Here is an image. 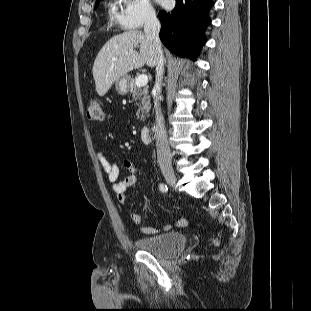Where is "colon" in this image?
<instances>
[{
    "label": "colon",
    "mask_w": 311,
    "mask_h": 311,
    "mask_svg": "<svg viewBox=\"0 0 311 311\" xmlns=\"http://www.w3.org/2000/svg\"><path fill=\"white\" fill-rule=\"evenodd\" d=\"M103 117L104 113L101 101L96 98L90 99L87 107V119L90 121H101Z\"/></svg>",
    "instance_id": "colon-1"
}]
</instances>
